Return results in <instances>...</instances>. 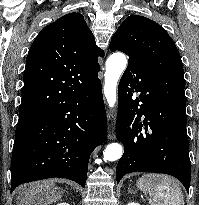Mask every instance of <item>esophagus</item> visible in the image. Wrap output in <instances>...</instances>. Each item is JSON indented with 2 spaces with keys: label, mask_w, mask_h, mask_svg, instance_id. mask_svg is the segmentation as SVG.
Segmentation results:
<instances>
[{
  "label": "esophagus",
  "mask_w": 199,
  "mask_h": 205,
  "mask_svg": "<svg viewBox=\"0 0 199 205\" xmlns=\"http://www.w3.org/2000/svg\"><path fill=\"white\" fill-rule=\"evenodd\" d=\"M116 114L112 111L107 116L108 139H115Z\"/></svg>",
  "instance_id": "obj_1"
}]
</instances>
